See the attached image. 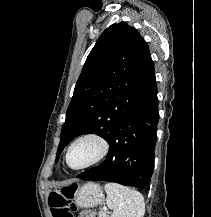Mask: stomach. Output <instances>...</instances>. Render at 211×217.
I'll return each mask as SVG.
<instances>
[{"mask_svg":"<svg viewBox=\"0 0 211 217\" xmlns=\"http://www.w3.org/2000/svg\"><path fill=\"white\" fill-rule=\"evenodd\" d=\"M74 198L78 206L90 208L102 202L103 190L99 184L90 182L82 187H78Z\"/></svg>","mask_w":211,"mask_h":217,"instance_id":"obj_1","label":"stomach"}]
</instances>
